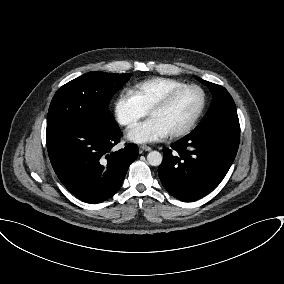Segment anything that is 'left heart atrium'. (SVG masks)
I'll use <instances>...</instances> for the list:
<instances>
[{
	"mask_svg": "<svg viewBox=\"0 0 284 284\" xmlns=\"http://www.w3.org/2000/svg\"><path fill=\"white\" fill-rule=\"evenodd\" d=\"M168 135V132L155 118H149L128 130V138L136 143L158 141Z\"/></svg>",
	"mask_w": 284,
	"mask_h": 284,
	"instance_id": "39dd6f15",
	"label": "left heart atrium"
}]
</instances>
